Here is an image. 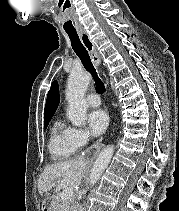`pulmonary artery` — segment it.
Returning a JSON list of instances; mask_svg holds the SVG:
<instances>
[{
    "label": "pulmonary artery",
    "instance_id": "1",
    "mask_svg": "<svg viewBox=\"0 0 179 211\" xmlns=\"http://www.w3.org/2000/svg\"><path fill=\"white\" fill-rule=\"evenodd\" d=\"M86 103L91 107H98L101 103L99 95L96 93L87 95Z\"/></svg>",
    "mask_w": 179,
    "mask_h": 211
}]
</instances>
